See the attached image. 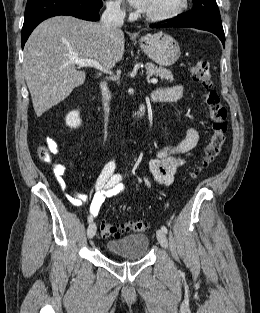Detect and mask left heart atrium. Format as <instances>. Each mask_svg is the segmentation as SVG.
I'll list each match as a JSON object with an SVG mask.
<instances>
[{"label":"left heart atrium","instance_id":"left-heart-atrium-1","mask_svg":"<svg viewBox=\"0 0 260 313\" xmlns=\"http://www.w3.org/2000/svg\"><path fill=\"white\" fill-rule=\"evenodd\" d=\"M132 6L139 10H144L147 0H128Z\"/></svg>","mask_w":260,"mask_h":313}]
</instances>
